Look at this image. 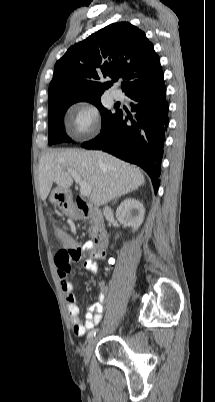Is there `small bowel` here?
<instances>
[{
	"label": "small bowel",
	"mask_w": 215,
	"mask_h": 402,
	"mask_svg": "<svg viewBox=\"0 0 215 402\" xmlns=\"http://www.w3.org/2000/svg\"><path fill=\"white\" fill-rule=\"evenodd\" d=\"M94 245L91 241L86 242L84 245H77L76 251L78 252V258L69 261L67 263H62L57 259V254L55 256V264L58 269V276L61 284V289L63 296L67 303L68 314L71 318L73 332L76 336H83L86 331L92 329L97 325L102 317L103 310L105 306V299L108 292V288L104 282L99 285V294L95 302L86 303L85 307L87 313L85 315V320L82 321L79 317L80 308L77 304L74 296V285L70 281V274L72 273V263L78 261L83 255L89 253L93 250ZM96 258H102L103 254L101 252L95 253ZM70 266L71 271L66 270V267ZM84 266L87 270L97 274L99 271L98 264L93 259H88L85 261Z\"/></svg>",
	"instance_id": "1"
}]
</instances>
